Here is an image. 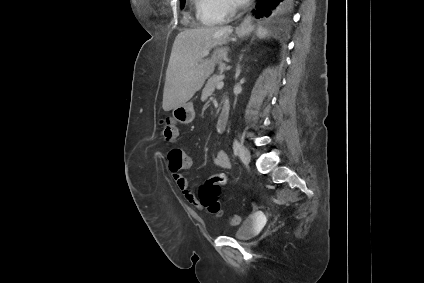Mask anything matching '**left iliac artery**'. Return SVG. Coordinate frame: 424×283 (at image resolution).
<instances>
[{"mask_svg":"<svg viewBox=\"0 0 424 283\" xmlns=\"http://www.w3.org/2000/svg\"><path fill=\"white\" fill-rule=\"evenodd\" d=\"M240 146H241V144L237 140H234V142H233V150H234V153L235 154H237L238 150L240 149Z\"/></svg>","mask_w":424,"mask_h":283,"instance_id":"left-iliac-artery-1","label":"left iliac artery"}]
</instances>
